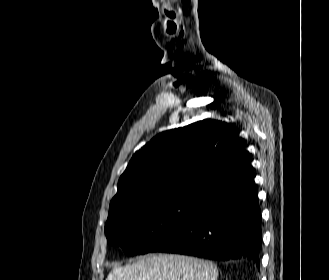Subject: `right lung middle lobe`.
I'll return each instance as SVG.
<instances>
[{"instance_id":"dd1d6c3e","label":"right lung middle lobe","mask_w":329,"mask_h":280,"mask_svg":"<svg viewBox=\"0 0 329 280\" xmlns=\"http://www.w3.org/2000/svg\"><path fill=\"white\" fill-rule=\"evenodd\" d=\"M201 197H155L122 201L109 208L107 241L128 255L148 253L171 237L199 205Z\"/></svg>"}]
</instances>
